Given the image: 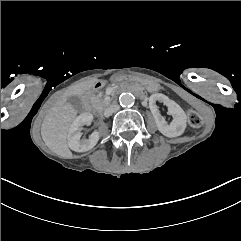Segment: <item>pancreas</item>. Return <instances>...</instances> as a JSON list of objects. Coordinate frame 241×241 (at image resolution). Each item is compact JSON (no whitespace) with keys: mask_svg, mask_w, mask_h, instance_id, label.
I'll use <instances>...</instances> for the list:
<instances>
[{"mask_svg":"<svg viewBox=\"0 0 241 241\" xmlns=\"http://www.w3.org/2000/svg\"><path fill=\"white\" fill-rule=\"evenodd\" d=\"M99 96H102V93L99 94ZM95 100V99H94ZM109 104V101H105L104 99L100 100V104L98 108H103ZM93 107H95V104H93Z\"/></svg>","mask_w":241,"mask_h":241,"instance_id":"obj_1","label":"pancreas"}]
</instances>
